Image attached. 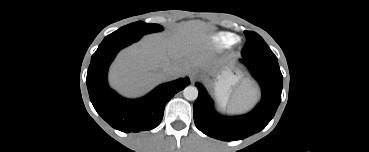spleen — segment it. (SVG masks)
Instances as JSON below:
<instances>
[{
    "label": "spleen",
    "instance_id": "obj_1",
    "mask_svg": "<svg viewBox=\"0 0 369 152\" xmlns=\"http://www.w3.org/2000/svg\"><path fill=\"white\" fill-rule=\"evenodd\" d=\"M257 94L255 91H252L246 95H242L237 102L232 105L231 109L234 112H242L246 109L250 108L253 103L256 101Z\"/></svg>",
    "mask_w": 369,
    "mask_h": 152
}]
</instances>
